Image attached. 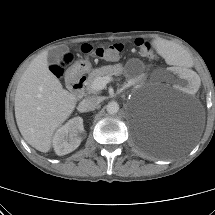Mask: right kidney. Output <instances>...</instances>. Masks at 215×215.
<instances>
[{"instance_id": "ca27d5eb", "label": "right kidney", "mask_w": 215, "mask_h": 215, "mask_svg": "<svg viewBox=\"0 0 215 215\" xmlns=\"http://www.w3.org/2000/svg\"><path fill=\"white\" fill-rule=\"evenodd\" d=\"M84 132L83 119L74 117L60 127L54 134L53 147L59 156L74 151L82 141Z\"/></svg>"}]
</instances>
